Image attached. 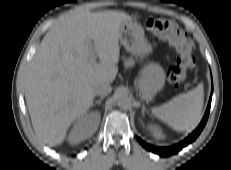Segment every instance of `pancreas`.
<instances>
[{
  "label": "pancreas",
  "instance_id": "1",
  "mask_svg": "<svg viewBox=\"0 0 231 170\" xmlns=\"http://www.w3.org/2000/svg\"><path fill=\"white\" fill-rule=\"evenodd\" d=\"M134 64H135V61H134L133 59H131V58H128V59H125V60H124V66H125L126 68L133 67Z\"/></svg>",
  "mask_w": 231,
  "mask_h": 170
}]
</instances>
